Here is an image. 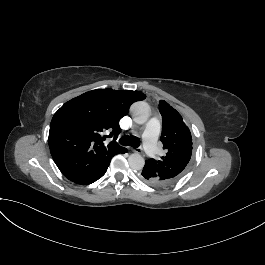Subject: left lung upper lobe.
<instances>
[{
  "label": "left lung upper lobe",
  "mask_w": 265,
  "mask_h": 265,
  "mask_svg": "<svg viewBox=\"0 0 265 265\" xmlns=\"http://www.w3.org/2000/svg\"><path fill=\"white\" fill-rule=\"evenodd\" d=\"M159 111L163 119L161 141L166 156L146 162L170 185L185 173L192 154V137L182 116L166 101L160 100Z\"/></svg>",
  "instance_id": "obj_1"
}]
</instances>
